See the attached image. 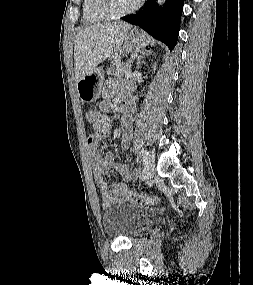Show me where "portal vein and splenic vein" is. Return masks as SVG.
I'll list each match as a JSON object with an SVG mask.
<instances>
[{
	"label": "portal vein and splenic vein",
	"instance_id": "1",
	"mask_svg": "<svg viewBox=\"0 0 253 285\" xmlns=\"http://www.w3.org/2000/svg\"><path fill=\"white\" fill-rule=\"evenodd\" d=\"M131 76H132V71L129 70V71L126 73L125 77H126V78H130Z\"/></svg>",
	"mask_w": 253,
	"mask_h": 285
}]
</instances>
